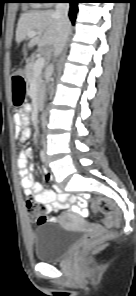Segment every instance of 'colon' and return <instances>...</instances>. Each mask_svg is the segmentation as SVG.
Masks as SVG:
<instances>
[{
  "label": "colon",
  "instance_id": "colon-1",
  "mask_svg": "<svg viewBox=\"0 0 136 296\" xmlns=\"http://www.w3.org/2000/svg\"><path fill=\"white\" fill-rule=\"evenodd\" d=\"M15 77L16 79H20L16 73ZM91 206L105 215V224L107 226L120 224L121 212L110 199L105 197H96L92 199ZM25 210L28 215L31 216L38 224H44L47 222V216L44 213V207L39 202L31 198L27 199L25 202ZM101 239L102 238L99 235H89L81 244L78 251L84 254L91 252L101 241Z\"/></svg>",
  "mask_w": 136,
  "mask_h": 296
}]
</instances>
